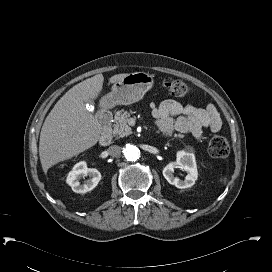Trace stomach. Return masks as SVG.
<instances>
[{
	"mask_svg": "<svg viewBox=\"0 0 272 272\" xmlns=\"http://www.w3.org/2000/svg\"><path fill=\"white\" fill-rule=\"evenodd\" d=\"M153 84L154 76L149 73L128 74L112 86L111 92L103 97L102 103L106 108H113L116 105H130L142 99Z\"/></svg>",
	"mask_w": 272,
	"mask_h": 272,
	"instance_id": "obj_1",
	"label": "stomach"
}]
</instances>
